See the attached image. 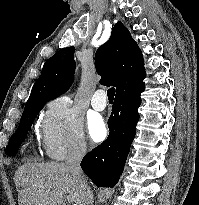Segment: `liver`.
<instances>
[{
	"instance_id": "obj_1",
	"label": "liver",
	"mask_w": 199,
	"mask_h": 205,
	"mask_svg": "<svg viewBox=\"0 0 199 205\" xmlns=\"http://www.w3.org/2000/svg\"><path fill=\"white\" fill-rule=\"evenodd\" d=\"M14 182L21 186L19 205H87L79 182L64 163H24L15 172Z\"/></svg>"
}]
</instances>
